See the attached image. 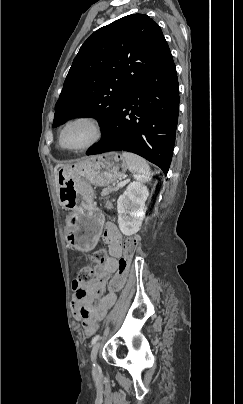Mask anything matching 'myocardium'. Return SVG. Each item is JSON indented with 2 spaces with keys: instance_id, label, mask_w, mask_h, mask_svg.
<instances>
[{
  "instance_id": "f54148a6",
  "label": "myocardium",
  "mask_w": 243,
  "mask_h": 404,
  "mask_svg": "<svg viewBox=\"0 0 243 404\" xmlns=\"http://www.w3.org/2000/svg\"><path fill=\"white\" fill-rule=\"evenodd\" d=\"M79 120H85V121H89L90 123H92L94 130H95V135L93 140L88 143L87 145L83 146V147H79V148H69L67 146H65L63 144V133L65 131V129L73 122L79 121ZM104 135V128H103V124L101 122V120L90 113H79L76 115H73L71 117H69L60 127L59 132H58V143L60 145V147L66 151L69 152H85L88 151L90 149H92L93 147H95L103 138Z\"/></svg>"
}]
</instances>
